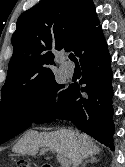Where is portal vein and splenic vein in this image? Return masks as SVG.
I'll return each instance as SVG.
<instances>
[{"label": "portal vein and splenic vein", "mask_w": 125, "mask_h": 167, "mask_svg": "<svg viewBox=\"0 0 125 167\" xmlns=\"http://www.w3.org/2000/svg\"><path fill=\"white\" fill-rule=\"evenodd\" d=\"M42 151L44 152V151H46V149L44 148V149H42ZM57 160L60 162L62 167H70V165H71V161L59 153L57 154Z\"/></svg>", "instance_id": "obj_1"}]
</instances>
